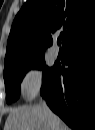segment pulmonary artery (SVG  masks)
Listing matches in <instances>:
<instances>
[{
	"label": "pulmonary artery",
	"mask_w": 95,
	"mask_h": 130,
	"mask_svg": "<svg viewBox=\"0 0 95 130\" xmlns=\"http://www.w3.org/2000/svg\"><path fill=\"white\" fill-rule=\"evenodd\" d=\"M50 54L52 57H57L58 54H59V49L56 45H52L51 48H50Z\"/></svg>",
	"instance_id": "1"
}]
</instances>
